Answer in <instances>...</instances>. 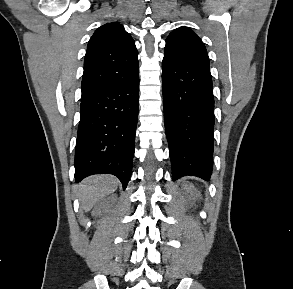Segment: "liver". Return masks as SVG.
Instances as JSON below:
<instances>
[{
	"instance_id": "liver-1",
	"label": "liver",
	"mask_w": 293,
	"mask_h": 289,
	"mask_svg": "<svg viewBox=\"0 0 293 289\" xmlns=\"http://www.w3.org/2000/svg\"><path fill=\"white\" fill-rule=\"evenodd\" d=\"M118 187V180L110 175H94L78 185V198L81 208L89 211L104 197L113 193Z\"/></svg>"
}]
</instances>
